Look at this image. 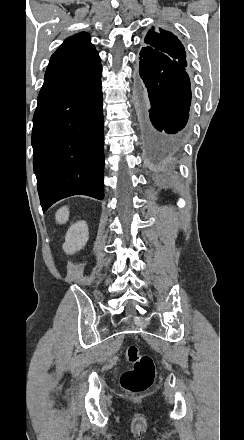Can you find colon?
I'll use <instances>...</instances> for the list:
<instances>
[{"instance_id":"colon-1","label":"colon","mask_w":244,"mask_h":440,"mask_svg":"<svg viewBox=\"0 0 244 440\" xmlns=\"http://www.w3.org/2000/svg\"><path fill=\"white\" fill-rule=\"evenodd\" d=\"M128 362L136 365L135 370L121 376V384L125 389L141 393L151 387L154 382L155 367L149 355L142 354L136 345H129L125 351Z\"/></svg>"}]
</instances>
